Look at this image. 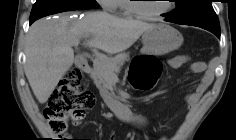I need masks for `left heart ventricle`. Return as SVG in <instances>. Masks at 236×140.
<instances>
[{
	"instance_id": "1",
	"label": "left heart ventricle",
	"mask_w": 236,
	"mask_h": 140,
	"mask_svg": "<svg viewBox=\"0 0 236 140\" xmlns=\"http://www.w3.org/2000/svg\"><path fill=\"white\" fill-rule=\"evenodd\" d=\"M141 9L145 12L155 13L167 8L168 2L163 0H144L139 4Z\"/></svg>"
}]
</instances>
